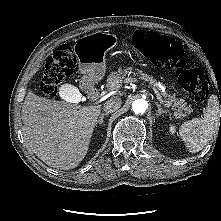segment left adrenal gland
Instances as JSON below:
<instances>
[{"mask_svg":"<svg viewBox=\"0 0 221 221\" xmlns=\"http://www.w3.org/2000/svg\"><path fill=\"white\" fill-rule=\"evenodd\" d=\"M156 105H157V107H158V110H157L156 115H157V116H160L161 114L164 113V110H163V108L161 107L160 104L156 103Z\"/></svg>","mask_w":221,"mask_h":221,"instance_id":"obj_1","label":"left adrenal gland"}]
</instances>
